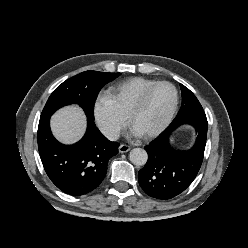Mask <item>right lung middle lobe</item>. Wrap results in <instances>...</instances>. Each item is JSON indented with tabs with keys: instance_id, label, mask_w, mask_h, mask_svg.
<instances>
[{
	"instance_id": "dd1d6c3e",
	"label": "right lung middle lobe",
	"mask_w": 248,
	"mask_h": 248,
	"mask_svg": "<svg viewBox=\"0 0 248 248\" xmlns=\"http://www.w3.org/2000/svg\"><path fill=\"white\" fill-rule=\"evenodd\" d=\"M120 73L85 71L60 84L50 95L40 117V121L50 118L59 108L78 104L86 116L94 120V103L101 88L117 78Z\"/></svg>"
}]
</instances>
